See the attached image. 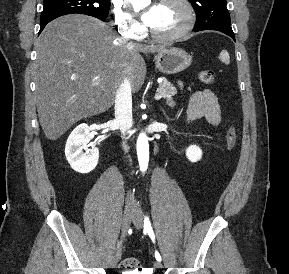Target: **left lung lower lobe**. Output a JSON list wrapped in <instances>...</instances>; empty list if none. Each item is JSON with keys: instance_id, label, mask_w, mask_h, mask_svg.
<instances>
[{"instance_id": "1", "label": "left lung lower lobe", "mask_w": 289, "mask_h": 274, "mask_svg": "<svg viewBox=\"0 0 289 274\" xmlns=\"http://www.w3.org/2000/svg\"><path fill=\"white\" fill-rule=\"evenodd\" d=\"M220 32L225 33L226 35L230 36L233 40H235V35L232 30H217ZM196 32V31H195Z\"/></svg>"}]
</instances>
